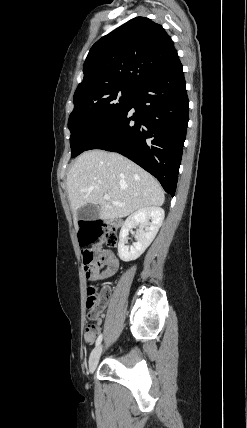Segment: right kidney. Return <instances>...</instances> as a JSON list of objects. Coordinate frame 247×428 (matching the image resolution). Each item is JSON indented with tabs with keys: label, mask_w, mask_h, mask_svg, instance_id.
<instances>
[{
	"label": "right kidney",
	"mask_w": 247,
	"mask_h": 428,
	"mask_svg": "<svg viewBox=\"0 0 247 428\" xmlns=\"http://www.w3.org/2000/svg\"><path fill=\"white\" fill-rule=\"evenodd\" d=\"M164 210L160 207H147L136 211L124 222L118 243V255L122 261L129 262L137 259L152 243L164 220ZM139 226L136 242L126 245L129 230Z\"/></svg>",
	"instance_id": "right-kidney-1"
}]
</instances>
